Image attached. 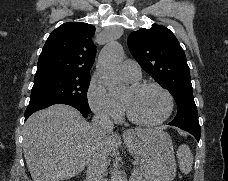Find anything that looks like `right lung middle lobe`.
Returning <instances> with one entry per match:
<instances>
[{"label": "right lung middle lobe", "instance_id": "dd1d6c3e", "mask_svg": "<svg viewBox=\"0 0 228 181\" xmlns=\"http://www.w3.org/2000/svg\"><path fill=\"white\" fill-rule=\"evenodd\" d=\"M90 77L51 74L35 77L29 106L65 103L82 112L90 113L87 91Z\"/></svg>", "mask_w": 228, "mask_h": 181}]
</instances>
